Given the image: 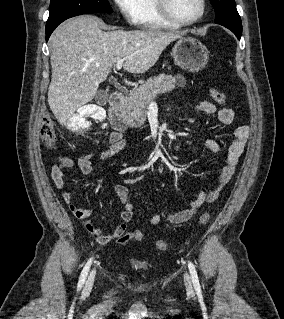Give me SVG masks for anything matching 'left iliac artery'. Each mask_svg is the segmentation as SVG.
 <instances>
[{
	"instance_id": "obj_1",
	"label": "left iliac artery",
	"mask_w": 284,
	"mask_h": 319,
	"mask_svg": "<svg viewBox=\"0 0 284 319\" xmlns=\"http://www.w3.org/2000/svg\"><path fill=\"white\" fill-rule=\"evenodd\" d=\"M188 268L191 274V279L194 285L195 290L200 293L201 292V287H200V283H199V279H198V275H197V271L195 269V266L193 265L192 262L188 261Z\"/></svg>"
}]
</instances>
